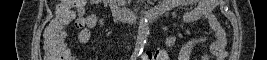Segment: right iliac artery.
<instances>
[{
	"label": "right iliac artery",
	"instance_id": "1",
	"mask_svg": "<svg viewBox=\"0 0 267 60\" xmlns=\"http://www.w3.org/2000/svg\"><path fill=\"white\" fill-rule=\"evenodd\" d=\"M137 56H138V55L133 54V55L131 56V60H136Z\"/></svg>",
	"mask_w": 267,
	"mask_h": 60
}]
</instances>
